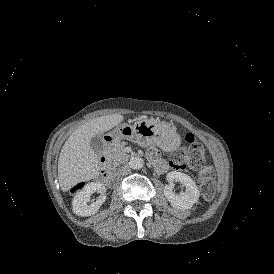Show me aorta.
Listing matches in <instances>:
<instances>
[{
	"label": "aorta",
	"mask_w": 274,
	"mask_h": 274,
	"mask_svg": "<svg viewBox=\"0 0 274 274\" xmlns=\"http://www.w3.org/2000/svg\"><path fill=\"white\" fill-rule=\"evenodd\" d=\"M129 165L132 169L138 170V169H141L143 167L144 161L140 157H132L130 159Z\"/></svg>",
	"instance_id": "aorta-1"
}]
</instances>
